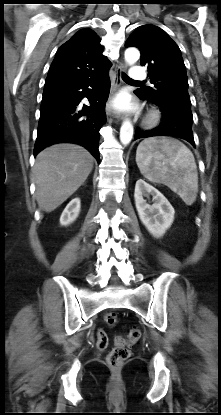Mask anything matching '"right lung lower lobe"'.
<instances>
[{"instance_id": "1", "label": "right lung lower lobe", "mask_w": 221, "mask_h": 415, "mask_svg": "<svg viewBox=\"0 0 221 415\" xmlns=\"http://www.w3.org/2000/svg\"><path fill=\"white\" fill-rule=\"evenodd\" d=\"M110 91L108 72L92 79L44 87L34 156L56 143L85 147L99 161V130ZM86 97L90 105L81 103Z\"/></svg>"}]
</instances>
